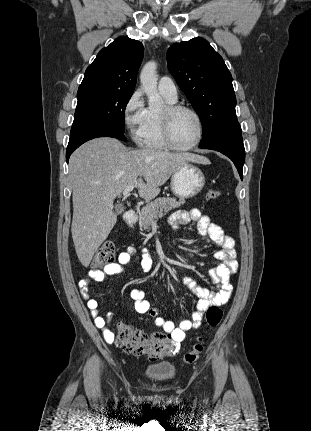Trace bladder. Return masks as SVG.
I'll use <instances>...</instances> for the list:
<instances>
[{"label":"bladder","instance_id":"31cf9c89","mask_svg":"<svg viewBox=\"0 0 311 431\" xmlns=\"http://www.w3.org/2000/svg\"><path fill=\"white\" fill-rule=\"evenodd\" d=\"M144 375L155 382H167L175 378L176 368L167 362L152 364L145 368Z\"/></svg>","mask_w":311,"mask_h":431}]
</instances>
